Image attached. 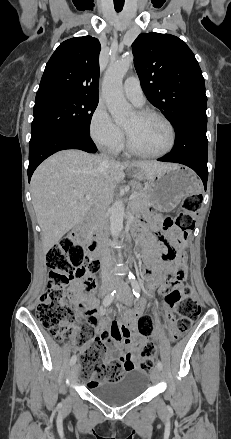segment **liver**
Wrapping results in <instances>:
<instances>
[{
    "label": "liver",
    "instance_id": "liver-1",
    "mask_svg": "<svg viewBox=\"0 0 231 439\" xmlns=\"http://www.w3.org/2000/svg\"><path fill=\"white\" fill-rule=\"evenodd\" d=\"M137 167L151 180L175 164L155 161L121 163L81 150H64L46 159L31 179L32 203L46 254L91 211L100 196L111 202L124 169ZM89 196V198H86Z\"/></svg>",
    "mask_w": 231,
    "mask_h": 439
}]
</instances>
